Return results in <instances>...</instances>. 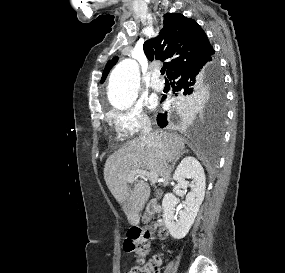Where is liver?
<instances>
[{
	"label": "liver",
	"instance_id": "obj_1",
	"mask_svg": "<svg viewBox=\"0 0 285 273\" xmlns=\"http://www.w3.org/2000/svg\"><path fill=\"white\" fill-rule=\"evenodd\" d=\"M163 156L149 141L140 138L127 142L111 154L104 166V179L112 195L122 206L128 218L136 221V213L144 208L150 197V187L144 179L134 180L131 189L127 178L131 170L141 169L156 172L163 186L169 184L173 162L185 148V140L175 133H160Z\"/></svg>",
	"mask_w": 285,
	"mask_h": 273
}]
</instances>
